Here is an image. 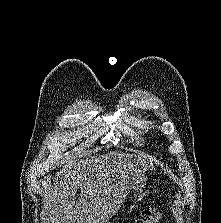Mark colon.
Returning a JSON list of instances; mask_svg holds the SVG:
<instances>
[{
	"mask_svg": "<svg viewBox=\"0 0 221 223\" xmlns=\"http://www.w3.org/2000/svg\"><path fill=\"white\" fill-rule=\"evenodd\" d=\"M161 218V213L156 205H152L145 209L140 217L133 223H158Z\"/></svg>",
	"mask_w": 221,
	"mask_h": 223,
	"instance_id": "5ec220e1",
	"label": "colon"
}]
</instances>
